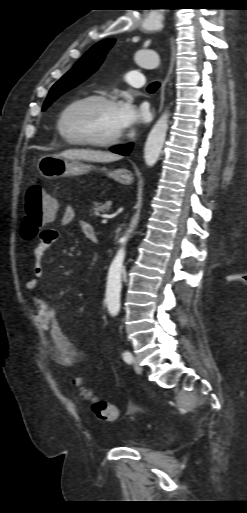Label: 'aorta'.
I'll use <instances>...</instances> for the list:
<instances>
[{
    "mask_svg": "<svg viewBox=\"0 0 247 513\" xmlns=\"http://www.w3.org/2000/svg\"><path fill=\"white\" fill-rule=\"evenodd\" d=\"M135 62L137 65L147 68L155 69L159 66V56L155 51H139L135 55ZM169 113H163L157 120L150 133L148 134L144 146V160L147 166L153 167L159 159L162 148L165 142L166 133L168 130ZM128 232H131L129 230ZM128 234L121 238L122 247L118 250L115 256L108 275L107 291L109 298V308L112 314H117L120 310V292L122 287V270L125 259L124 245L127 242Z\"/></svg>",
    "mask_w": 247,
    "mask_h": 513,
    "instance_id": "1",
    "label": "aorta"
}]
</instances>
